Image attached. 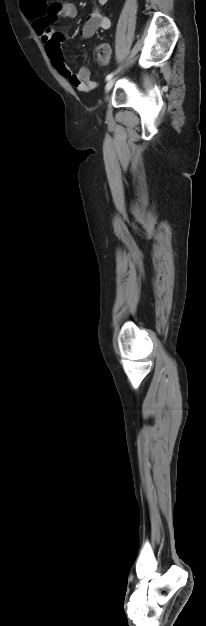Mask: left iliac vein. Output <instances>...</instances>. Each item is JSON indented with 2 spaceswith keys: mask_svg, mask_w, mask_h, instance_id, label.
<instances>
[{
  "mask_svg": "<svg viewBox=\"0 0 206 626\" xmlns=\"http://www.w3.org/2000/svg\"><path fill=\"white\" fill-rule=\"evenodd\" d=\"M115 81H116V78H111L110 80H108V82L106 83V86H105V92L106 93L110 91V89L113 87Z\"/></svg>",
  "mask_w": 206,
  "mask_h": 626,
  "instance_id": "left-iliac-vein-1",
  "label": "left iliac vein"
}]
</instances>
